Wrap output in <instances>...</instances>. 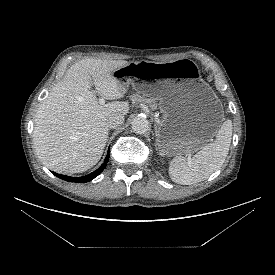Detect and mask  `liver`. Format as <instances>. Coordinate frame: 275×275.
<instances>
[{"label": "liver", "instance_id": "1", "mask_svg": "<svg viewBox=\"0 0 275 275\" xmlns=\"http://www.w3.org/2000/svg\"><path fill=\"white\" fill-rule=\"evenodd\" d=\"M127 64L96 58L78 61L43 100L35 115L33 143L46 167L59 173H81L100 160L108 138V116H124L129 104L100 105L90 89L91 80L102 98H123L126 89L113 72Z\"/></svg>", "mask_w": 275, "mask_h": 275}]
</instances>
